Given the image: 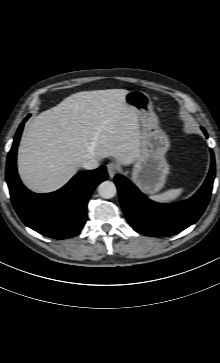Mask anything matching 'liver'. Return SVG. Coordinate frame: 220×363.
<instances>
[{"mask_svg":"<svg viewBox=\"0 0 220 363\" xmlns=\"http://www.w3.org/2000/svg\"><path fill=\"white\" fill-rule=\"evenodd\" d=\"M128 90L82 91L36 116L18 148V172L37 193L64 186L90 159L133 163L141 151L140 116L125 103Z\"/></svg>","mask_w":220,"mask_h":363,"instance_id":"6515ba94","label":"liver"}]
</instances>
